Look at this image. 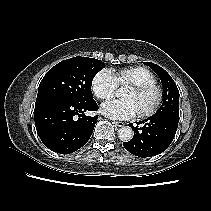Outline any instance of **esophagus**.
<instances>
[{"mask_svg":"<svg viewBox=\"0 0 211 211\" xmlns=\"http://www.w3.org/2000/svg\"><path fill=\"white\" fill-rule=\"evenodd\" d=\"M113 123L118 127H123L125 125L124 122H120V121H114Z\"/></svg>","mask_w":211,"mask_h":211,"instance_id":"1","label":"esophagus"}]
</instances>
